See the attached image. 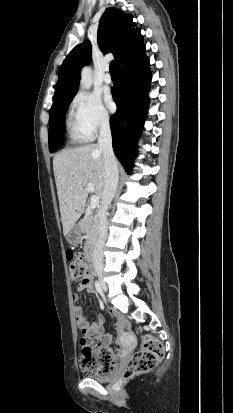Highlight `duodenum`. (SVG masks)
I'll return each mask as SVG.
<instances>
[{
  "label": "duodenum",
  "mask_w": 233,
  "mask_h": 413,
  "mask_svg": "<svg viewBox=\"0 0 233 413\" xmlns=\"http://www.w3.org/2000/svg\"><path fill=\"white\" fill-rule=\"evenodd\" d=\"M92 254H93V245L88 244L86 249H85V258H86L87 261L91 260Z\"/></svg>",
  "instance_id": "410a0bca"
}]
</instances>
